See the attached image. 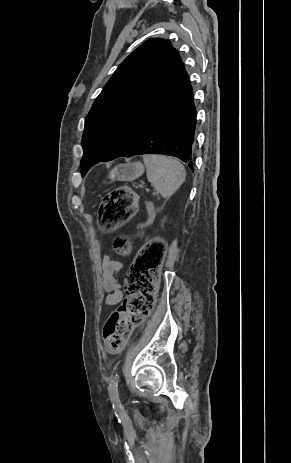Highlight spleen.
I'll return each instance as SVG.
<instances>
[{"label":"spleen","instance_id":"1","mask_svg":"<svg viewBox=\"0 0 291 463\" xmlns=\"http://www.w3.org/2000/svg\"><path fill=\"white\" fill-rule=\"evenodd\" d=\"M148 181L165 199H169L184 183L186 172L184 166L171 157L162 155H145Z\"/></svg>","mask_w":291,"mask_h":463}]
</instances>
